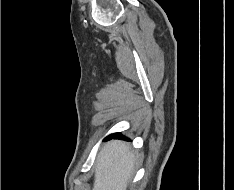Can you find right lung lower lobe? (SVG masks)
<instances>
[{"label":"right lung lower lobe","instance_id":"98d812e1","mask_svg":"<svg viewBox=\"0 0 234 190\" xmlns=\"http://www.w3.org/2000/svg\"><path fill=\"white\" fill-rule=\"evenodd\" d=\"M111 138L126 139L125 137H123V135H121V133L111 134L110 136L106 138V140L111 139Z\"/></svg>","mask_w":234,"mask_h":190}]
</instances>
